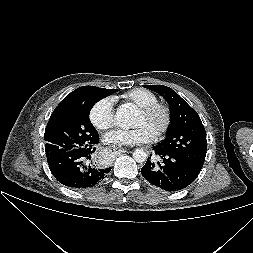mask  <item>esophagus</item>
<instances>
[{
	"mask_svg": "<svg viewBox=\"0 0 253 253\" xmlns=\"http://www.w3.org/2000/svg\"><path fill=\"white\" fill-rule=\"evenodd\" d=\"M109 153L120 154L123 150L117 146H108L106 147Z\"/></svg>",
	"mask_w": 253,
	"mask_h": 253,
	"instance_id": "esophagus-1",
	"label": "esophagus"
}]
</instances>
